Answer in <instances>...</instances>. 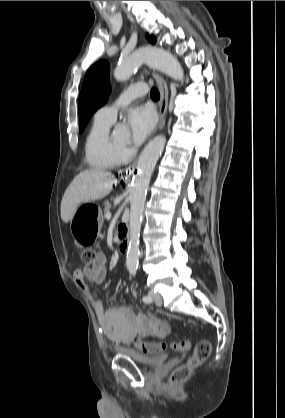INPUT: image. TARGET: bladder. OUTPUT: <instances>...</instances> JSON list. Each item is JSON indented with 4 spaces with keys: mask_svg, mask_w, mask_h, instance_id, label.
<instances>
[{
    "mask_svg": "<svg viewBox=\"0 0 285 418\" xmlns=\"http://www.w3.org/2000/svg\"><path fill=\"white\" fill-rule=\"evenodd\" d=\"M116 351L119 355L128 356L134 362L148 367L159 365L168 357L165 353H141L124 346L118 347Z\"/></svg>",
    "mask_w": 285,
    "mask_h": 418,
    "instance_id": "bladder-1",
    "label": "bladder"
}]
</instances>
